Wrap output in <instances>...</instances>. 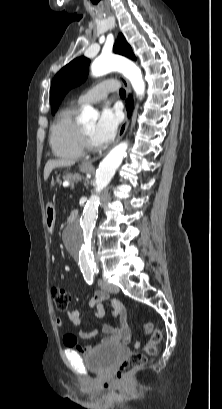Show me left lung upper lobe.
<instances>
[{"label":"left lung upper lobe","instance_id":"1","mask_svg":"<svg viewBox=\"0 0 222 409\" xmlns=\"http://www.w3.org/2000/svg\"><path fill=\"white\" fill-rule=\"evenodd\" d=\"M113 50L115 53L136 59L131 47L122 34L118 35ZM89 64L90 60L86 57H78L55 75L51 84V108L53 114L56 112L61 99L68 90L81 84V82L85 80Z\"/></svg>","mask_w":222,"mask_h":409}]
</instances>
